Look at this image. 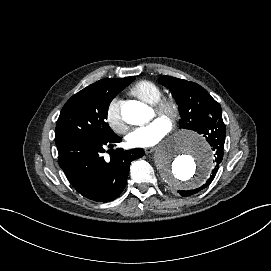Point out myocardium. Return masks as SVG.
<instances>
[{
	"mask_svg": "<svg viewBox=\"0 0 271 271\" xmlns=\"http://www.w3.org/2000/svg\"><path fill=\"white\" fill-rule=\"evenodd\" d=\"M181 104L173 96L161 97L154 105V112L157 116L167 120L172 126L181 117Z\"/></svg>",
	"mask_w": 271,
	"mask_h": 271,
	"instance_id": "1",
	"label": "myocardium"
}]
</instances>
